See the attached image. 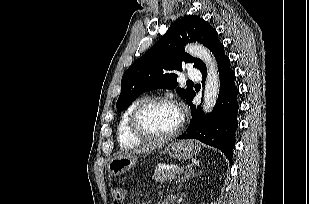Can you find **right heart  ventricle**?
<instances>
[{
	"mask_svg": "<svg viewBox=\"0 0 309 204\" xmlns=\"http://www.w3.org/2000/svg\"><path fill=\"white\" fill-rule=\"evenodd\" d=\"M143 100L145 99L141 98V99H137L133 101L124 111L120 119V122L118 125L117 137H118V142L120 146L123 148H129V147L136 146L140 144V142L142 141L141 139L137 138L136 136L132 134L129 128V122H130V117H131L133 110Z\"/></svg>",
	"mask_w": 309,
	"mask_h": 204,
	"instance_id": "1",
	"label": "right heart ventricle"
}]
</instances>
